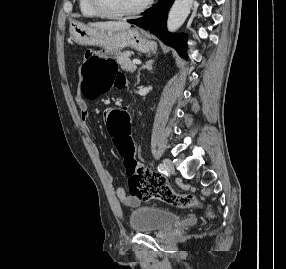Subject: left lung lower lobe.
<instances>
[{
	"label": "left lung lower lobe",
	"mask_w": 286,
	"mask_h": 269,
	"mask_svg": "<svg viewBox=\"0 0 286 269\" xmlns=\"http://www.w3.org/2000/svg\"><path fill=\"white\" fill-rule=\"evenodd\" d=\"M173 2L174 0H159L154 7L145 11L147 14L143 18L129 20L128 22L144 29L151 27V33L165 44L175 48L182 57H186V36L184 34L169 33L166 29L168 11Z\"/></svg>",
	"instance_id": "left-lung-lower-lobe-1"
}]
</instances>
